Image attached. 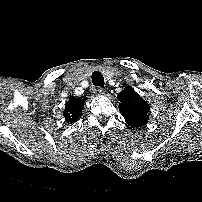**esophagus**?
I'll use <instances>...</instances> for the list:
<instances>
[{
    "mask_svg": "<svg viewBox=\"0 0 202 202\" xmlns=\"http://www.w3.org/2000/svg\"><path fill=\"white\" fill-rule=\"evenodd\" d=\"M93 91H94V93L96 95H103V94H105V90L103 88H101V87H94Z\"/></svg>",
    "mask_w": 202,
    "mask_h": 202,
    "instance_id": "1",
    "label": "esophagus"
}]
</instances>
